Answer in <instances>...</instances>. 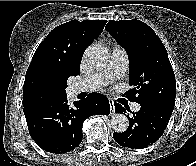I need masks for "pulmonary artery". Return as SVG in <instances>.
<instances>
[{"label": "pulmonary artery", "instance_id": "obj_1", "mask_svg": "<svg viewBox=\"0 0 196 166\" xmlns=\"http://www.w3.org/2000/svg\"><path fill=\"white\" fill-rule=\"evenodd\" d=\"M127 67V52L123 48L116 46L113 48L111 59L104 69L76 81L72 84L71 90L74 94L98 90L122 77L125 74ZM132 110L139 111L140 105L138 103H133Z\"/></svg>", "mask_w": 196, "mask_h": 166}]
</instances>
